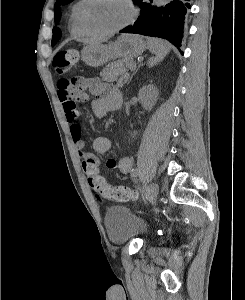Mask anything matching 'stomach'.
I'll use <instances>...</instances> for the list:
<instances>
[{"mask_svg":"<svg viewBox=\"0 0 245 300\" xmlns=\"http://www.w3.org/2000/svg\"><path fill=\"white\" fill-rule=\"evenodd\" d=\"M146 48V42L139 35L123 34L115 42L84 47L81 51V58L88 66L98 67L114 59L136 57L141 55Z\"/></svg>","mask_w":245,"mask_h":300,"instance_id":"stomach-1","label":"stomach"}]
</instances>
